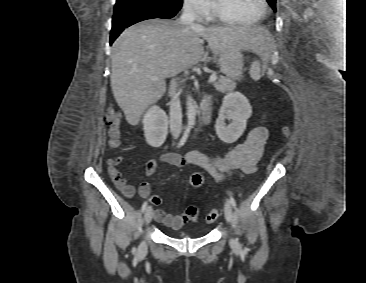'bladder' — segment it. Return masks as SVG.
<instances>
[{"label": "bladder", "instance_id": "1", "mask_svg": "<svg viewBox=\"0 0 366 283\" xmlns=\"http://www.w3.org/2000/svg\"><path fill=\"white\" fill-rule=\"evenodd\" d=\"M179 237H181V238H185V237H188V235H187V234H185V233H180V234H179Z\"/></svg>", "mask_w": 366, "mask_h": 283}]
</instances>
